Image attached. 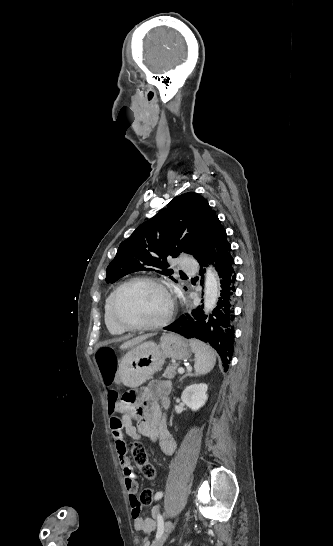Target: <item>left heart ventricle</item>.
<instances>
[{"label":"left heart ventricle","mask_w":333,"mask_h":546,"mask_svg":"<svg viewBox=\"0 0 333 546\" xmlns=\"http://www.w3.org/2000/svg\"><path fill=\"white\" fill-rule=\"evenodd\" d=\"M168 309L169 300L165 292L156 285L142 282L123 289L117 305L119 316L131 324L159 321Z\"/></svg>","instance_id":"1"}]
</instances>
